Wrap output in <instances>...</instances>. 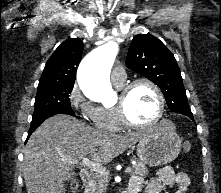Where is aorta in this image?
<instances>
[{"label":"aorta","mask_w":221,"mask_h":193,"mask_svg":"<svg viewBox=\"0 0 221 193\" xmlns=\"http://www.w3.org/2000/svg\"><path fill=\"white\" fill-rule=\"evenodd\" d=\"M117 50V44L109 42L90 52L81 62L77 78L81 90L88 98L104 102L114 94L108 72Z\"/></svg>","instance_id":"1"}]
</instances>
